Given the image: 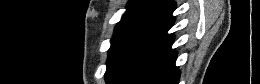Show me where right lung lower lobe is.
I'll use <instances>...</instances> for the list:
<instances>
[{
	"mask_svg": "<svg viewBox=\"0 0 260 84\" xmlns=\"http://www.w3.org/2000/svg\"><path fill=\"white\" fill-rule=\"evenodd\" d=\"M173 41L132 84H178L180 73L175 66L177 53Z\"/></svg>",
	"mask_w": 260,
	"mask_h": 84,
	"instance_id": "1",
	"label": "right lung lower lobe"
}]
</instances>
